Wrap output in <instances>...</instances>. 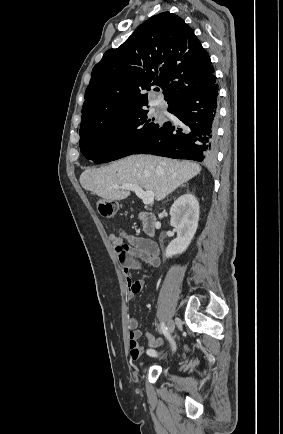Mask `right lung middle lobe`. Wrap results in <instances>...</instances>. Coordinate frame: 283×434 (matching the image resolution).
I'll use <instances>...</instances> for the list:
<instances>
[{
	"instance_id": "dd1d6c3e",
	"label": "right lung middle lobe",
	"mask_w": 283,
	"mask_h": 434,
	"mask_svg": "<svg viewBox=\"0 0 283 434\" xmlns=\"http://www.w3.org/2000/svg\"><path fill=\"white\" fill-rule=\"evenodd\" d=\"M161 126L138 108L117 114L98 124L80 130V150L99 164L133 154Z\"/></svg>"
}]
</instances>
